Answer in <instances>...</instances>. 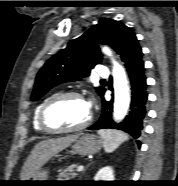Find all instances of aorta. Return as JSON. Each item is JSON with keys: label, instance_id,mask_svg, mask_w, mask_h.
<instances>
[{"label": "aorta", "instance_id": "762f6f07", "mask_svg": "<svg viewBox=\"0 0 178 186\" xmlns=\"http://www.w3.org/2000/svg\"><path fill=\"white\" fill-rule=\"evenodd\" d=\"M103 52L111 56V51L107 48H103ZM113 62V79H114V118L119 121L123 119L128 111L130 104V95L128 81L124 68L119 65L114 59Z\"/></svg>", "mask_w": 178, "mask_h": 186}]
</instances>
